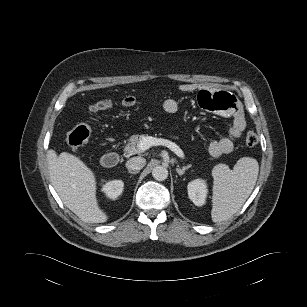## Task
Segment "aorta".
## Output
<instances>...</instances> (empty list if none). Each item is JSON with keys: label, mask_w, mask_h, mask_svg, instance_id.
<instances>
[{"label": "aorta", "mask_w": 307, "mask_h": 307, "mask_svg": "<svg viewBox=\"0 0 307 307\" xmlns=\"http://www.w3.org/2000/svg\"><path fill=\"white\" fill-rule=\"evenodd\" d=\"M152 176L157 181H164L168 177V170L163 166H156L152 170Z\"/></svg>", "instance_id": "762f6f07"}]
</instances>
